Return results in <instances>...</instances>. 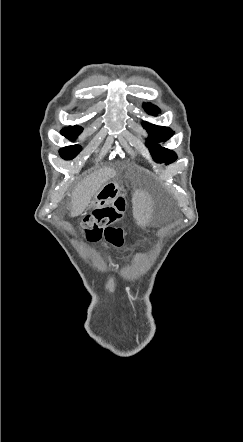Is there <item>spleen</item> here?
<instances>
[{
	"label": "spleen",
	"mask_w": 243,
	"mask_h": 442,
	"mask_svg": "<svg viewBox=\"0 0 243 442\" xmlns=\"http://www.w3.org/2000/svg\"><path fill=\"white\" fill-rule=\"evenodd\" d=\"M130 202H138V212L141 219H146L148 217L147 209H152L153 202L148 200L147 193H130Z\"/></svg>",
	"instance_id": "spleen-1"
}]
</instances>
